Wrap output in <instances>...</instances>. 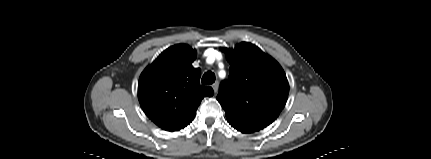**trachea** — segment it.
I'll return each instance as SVG.
<instances>
[{
	"instance_id": "3493384b",
	"label": "trachea",
	"mask_w": 431,
	"mask_h": 159,
	"mask_svg": "<svg viewBox=\"0 0 431 159\" xmlns=\"http://www.w3.org/2000/svg\"><path fill=\"white\" fill-rule=\"evenodd\" d=\"M202 84L205 85H211L212 83L215 82V74L211 71L206 72L202 79H201Z\"/></svg>"
}]
</instances>
